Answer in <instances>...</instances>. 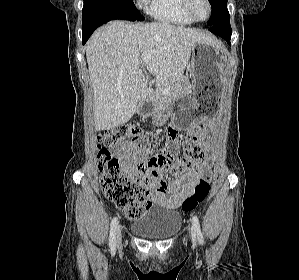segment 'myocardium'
I'll list each match as a JSON object with an SVG mask.
<instances>
[{
    "instance_id": "f54148a6",
    "label": "myocardium",
    "mask_w": 299,
    "mask_h": 280,
    "mask_svg": "<svg viewBox=\"0 0 299 280\" xmlns=\"http://www.w3.org/2000/svg\"><path fill=\"white\" fill-rule=\"evenodd\" d=\"M207 5V16L204 19H198L194 16L192 11V0H182V8L186 15L193 21V22H204L208 20L212 13V6L210 0H204Z\"/></svg>"
}]
</instances>
